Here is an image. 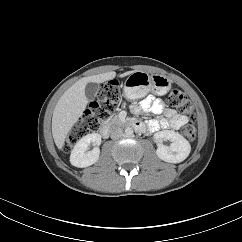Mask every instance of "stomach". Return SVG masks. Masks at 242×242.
<instances>
[{"label":"stomach","instance_id":"obj_1","mask_svg":"<svg viewBox=\"0 0 242 242\" xmlns=\"http://www.w3.org/2000/svg\"><path fill=\"white\" fill-rule=\"evenodd\" d=\"M171 89V80L164 75H149L135 71L125 81L124 94L127 99H140L152 91L156 95H165Z\"/></svg>","mask_w":242,"mask_h":242}]
</instances>
